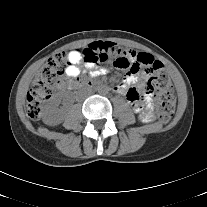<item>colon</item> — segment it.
Returning <instances> with one entry per match:
<instances>
[{"label":"colon","mask_w":207,"mask_h":207,"mask_svg":"<svg viewBox=\"0 0 207 207\" xmlns=\"http://www.w3.org/2000/svg\"><path fill=\"white\" fill-rule=\"evenodd\" d=\"M81 55L86 64L92 66L112 64L132 72H151L146 89L155 94L157 117L162 123L171 120L175 111L174 88L168 72L162 63L155 60L151 51H128L113 42L98 41L82 49ZM68 63V54L58 52L40 67L26 97L27 115L31 120L41 118L44 103L51 97L54 87L62 82Z\"/></svg>","instance_id":"5ec220e1"}]
</instances>
